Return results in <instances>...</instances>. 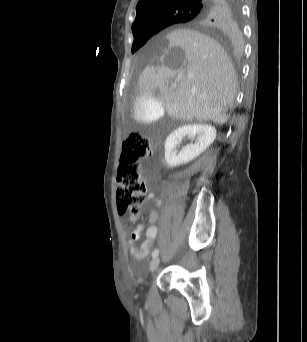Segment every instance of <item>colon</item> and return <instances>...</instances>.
Segmentation results:
<instances>
[{
    "mask_svg": "<svg viewBox=\"0 0 307 342\" xmlns=\"http://www.w3.org/2000/svg\"><path fill=\"white\" fill-rule=\"evenodd\" d=\"M152 148L150 140L137 132L131 133L122 144L116 199L119 212L132 219L141 216V206L146 199L139 161L149 158Z\"/></svg>",
    "mask_w": 307,
    "mask_h": 342,
    "instance_id": "colon-1",
    "label": "colon"
}]
</instances>
